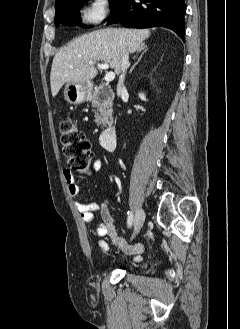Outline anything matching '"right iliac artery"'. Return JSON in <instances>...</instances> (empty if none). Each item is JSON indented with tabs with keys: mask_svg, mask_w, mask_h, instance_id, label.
Segmentation results:
<instances>
[{
	"mask_svg": "<svg viewBox=\"0 0 240 329\" xmlns=\"http://www.w3.org/2000/svg\"><path fill=\"white\" fill-rule=\"evenodd\" d=\"M128 217H127V225L130 228L133 224V213L128 211Z\"/></svg>",
	"mask_w": 240,
	"mask_h": 329,
	"instance_id": "right-iliac-artery-1",
	"label": "right iliac artery"
}]
</instances>
